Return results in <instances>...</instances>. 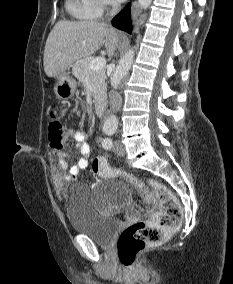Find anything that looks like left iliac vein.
<instances>
[{"instance_id":"left-iliac-vein-1","label":"left iliac vein","mask_w":233,"mask_h":284,"mask_svg":"<svg viewBox=\"0 0 233 284\" xmlns=\"http://www.w3.org/2000/svg\"><path fill=\"white\" fill-rule=\"evenodd\" d=\"M113 150L119 156H123V155L126 154L125 146H124V144L120 140H117L114 143Z\"/></svg>"}]
</instances>
